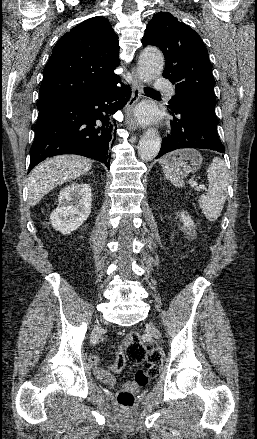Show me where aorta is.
Masks as SVG:
<instances>
[{"label": "aorta", "instance_id": "obj_1", "mask_svg": "<svg viewBox=\"0 0 257 439\" xmlns=\"http://www.w3.org/2000/svg\"><path fill=\"white\" fill-rule=\"evenodd\" d=\"M164 65V58L159 49L147 47L143 49L138 60V75L145 81L158 77ZM161 145V139L155 129H148L138 144V156L142 161L154 159Z\"/></svg>", "mask_w": 257, "mask_h": 439}]
</instances>
